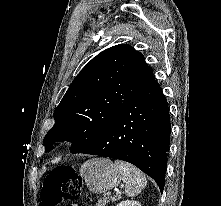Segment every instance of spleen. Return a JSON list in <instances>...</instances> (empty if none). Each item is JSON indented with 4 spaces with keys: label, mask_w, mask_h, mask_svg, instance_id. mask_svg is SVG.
<instances>
[{
    "label": "spleen",
    "mask_w": 221,
    "mask_h": 206,
    "mask_svg": "<svg viewBox=\"0 0 221 206\" xmlns=\"http://www.w3.org/2000/svg\"><path fill=\"white\" fill-rule=\"evenodd\" d=\"M115 165L121 172L126 195L128 197H134L140 194L147 185L145 175L129 163L117 160L115 161Z\"/></svg>",
    "instance_id": "1"
}]
</instances>
